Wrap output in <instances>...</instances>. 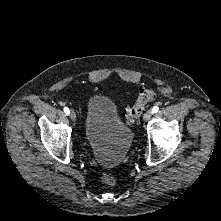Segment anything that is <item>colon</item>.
I'll list each match as a JSON object with an SVG mask.
<instances>
[{
	"mask_svg": "<svg viewBox=\"0 0 221 221\" xmlns=\"http://www.w3.org/2000/svg\"><path fill=\"white\" fill-rule=\"evenodd\" d=\"M155 99L156 92L153 89L141 88L136 102L127 110L126 123L135 122L145 111L147 104ZM101 180L106 185H114L116 183L115 177L106 173L101 176Z\"/></svg>",
	"mask_w": 221,
	"mask_h": 221,
	"instance_id": "colon-1",
	"label": "colon"
}]
</instances>
